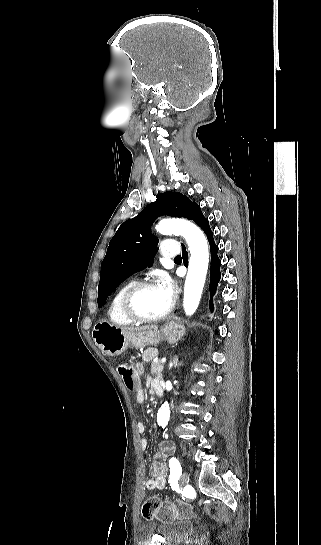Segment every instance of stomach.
Wrapping results in <instances>:
<instances>
[{
	"label": "stomach",
	"instance_id": "0dacf381",
	"mask_svg": "<svg viewBox=\"0 0 321 545\" xmlns=\"http://www.w3.org/2000/svg\"><path fill=\"white\" fill-rule=\"evenodd\" d=\"M185 329L179 319H173L161 329H147V331H128L124 333L119 327L110 325L107 321H99L94 325L92 337L99 349L104 355H121L129 347L134 349H143L148 345H158L160 341L168 343H177L184 337Z\"/></svg>",
	"mask_w": 321,
	"mask_h": 545
}]
</instances>
